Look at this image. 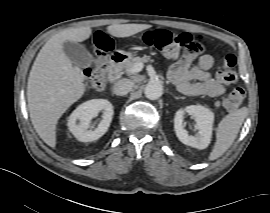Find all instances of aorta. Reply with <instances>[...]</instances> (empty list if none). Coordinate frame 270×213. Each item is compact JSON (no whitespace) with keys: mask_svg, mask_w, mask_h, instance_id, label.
I'll use <instances>...</instances> for the list:
<instances>
[{"mask_svg":"<svg viewBox=\"0 0 270 213\" xmlns=\"http://www.w3.org/2000/svg\"><path fill=\"white\" fill-rule=\"evenodd\" d=\"M145 96L150 100L158 99L163 93V85L159 80H150L145 87Z\"/></svg>","mask_w":270,"mask_h":213,"instance_id":"762f6f07","label":"aorta"}]
</instances>
